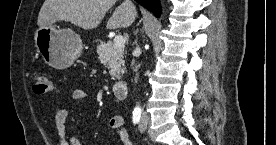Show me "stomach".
Returning a JSON list of instances; mask_svg holds the SVG:
<instances>
[{
	"label": "stomach",
	"mask_w": 276,
	"mask_h": 145,
	"mask_svg": "<svg viewBox=\"0 0 276 145\" xmlns=\"http://www.w3.org/2000/svg\"><path fill=\"white\" fill-rule=\"evenodd\" d=\"M37 49L51 67L69 68L83 49L80 36L72 29H57L54 24L39 27L34 35Z\"/></svg>",
	"instance_id": "0dacf381"
}]
</instances>
